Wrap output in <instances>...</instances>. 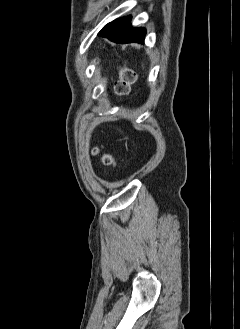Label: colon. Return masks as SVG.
I'll return each mask as SVG.
<instances>
[{
  "label": "colon",
  "instance_id": "colon-1",
  "mask_svg": "<svg viewBox=\"0 0 240 329\" xmlns=\"http://www.w3.org/2000/svg\"><path fill=\"white\" fill-rule=\"evenodd\" d=\"M135 80V73L128 67H123L119 73V80L115 85V92L117 95L122 96L129 92L131 84ZM94 152L99 153L98 149H95ZM103 161L106 164H115L116 160L110 155H104Z\"/></svg>",
  "mask_w": 240,
  "mask_h": 329
}]
</instances>
